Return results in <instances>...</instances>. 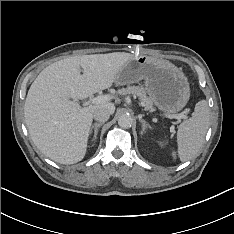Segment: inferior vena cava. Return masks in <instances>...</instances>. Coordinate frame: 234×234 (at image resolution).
Here are the masks:
<instances>
[{
	"instance_id": "1",
	"label": "inferior vena cava",
	"mask_w": 234,
	"mask_h": 234,
	"mask_svg": "<svg viewBox=\"0 0 234 234\" xmlns=\"http://www.w3.org/2000/svg\"><path fill=\"white\" fill-rule=\"evenodd\" d=\"M110 111L105 108H98L93 113V118L98 122H106L110 117Z\"/></svg>"
}]
</instances>
